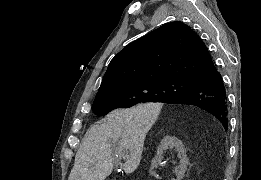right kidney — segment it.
<instances>
[{
  "mask_svg": "<svg viewBox=\"0 0 261 180\" xmlns=\"http://www.w3.org/2000/svg\"><path fill=\"white\" fill-rule=\"evenodd\" d=\"M168 146H173V148H176L178 152V158H180V168H178V170H175V174L178 180H181L186 170H188L189 164L186 156V148H184L181 140H178V138H175V136H166V138H163V140H161L160 146H158L157 148V154L154 160H152V170L153 168H157L158 164H161L163 160L164 150H166Z\"/></svg>",
  "mask_w": 261,
  "mask_h": 180,
  "instance_id": "obj_1",
  "label": "right kidney"
}]
</instances>
